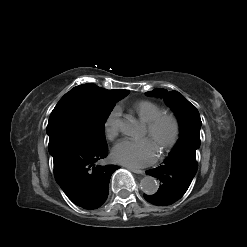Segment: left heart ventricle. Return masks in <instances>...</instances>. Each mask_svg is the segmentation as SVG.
I'll return each mask as SVG.
<instances>
[{"instance_id": "b2bd125f", "label": "left heart ventricle", "mask_w": 247, "mask_h": 247, "mask_svg": "<svg viewBox=\"0 0 247 247\" xmlns=\"http://www.w3.org/2000/svg\"><path fill=\"white\" fill-rule=\"evenodd\" d=\"M147 133V130H146ZM170 134V126L169 125H165L161 128V130L159 131L158 135L156 138H152L153 141L155 142V144L159 147L160 142L167 139V137Z\"/></svg>"}]
</instances>
